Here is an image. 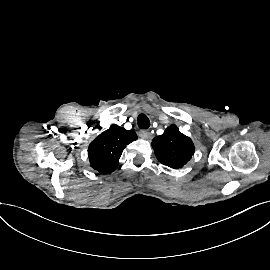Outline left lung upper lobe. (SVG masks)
Here are the masks:
<instances>
[{
	"label": "left lung upper lobe",
	"mask_w": 270,
	"mask_h": 270,
	"mask_svg": "<svg viewBox=\"0 0 270 270\" xmlns=\"http://www.w3.org/2000/svg\"><path fill=\"white\" fill-rule=\"evenodd\" d=\"M151 144L157 159L174 169L183 167L195 150L192 140L182 134L176 125L168 127L162 135L155 137Z\"/></svg>",
	"instance_id": "left-lung-upper-lobe-1"
}]
</instances>
